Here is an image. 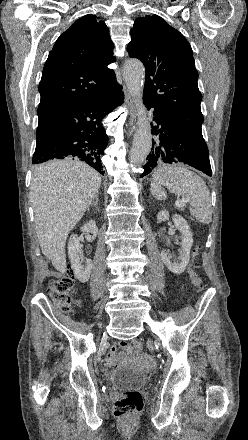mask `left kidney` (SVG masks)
Wrapping results in <instances>:
<instances>
[{"mask_svg": "<svg viewBox=\"0 0 248 440\" xmlns=\"http://www.w3.org/2000/svg\"><path fill=\"white\" fill-rule=\"evenodd\" d=\"M169 213L165 210L160 211L157 215L159 221L168 220ZM175 227L181 233V254L178 261H171V255L166 251H161V258L166 267L174 274H181L185 271L187 264L190 260V251L193 244V234L187 223V221L180 215H174L172 217Z\"/></svg>", "mask_w": 248, "mask_h": 440, "instance_id": "obj_1", "label": "left kidney"}]
</instances>
